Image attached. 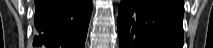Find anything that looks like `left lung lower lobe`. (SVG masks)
Wrapping results in <instances>:
<instances>
[{
  "instance_id": "obj_1",
  "label": "left lung lower lobe",
  "mask_w": 213,
  "mask_h": 48,
  "mask_svg": "<svg viewBox=\"0 0 213 48\" xmlns=\"http://www.w3.org/2000/svg\"><path fill=\"white\" fill-rule=\"evenodd\" d=\"M183 0H122L119 48H183Z\"/></svg>"
}]
</instances>
